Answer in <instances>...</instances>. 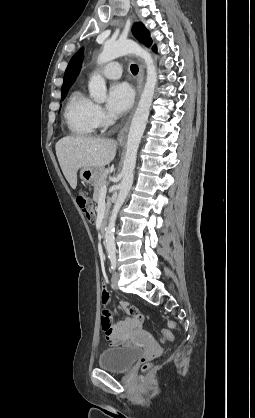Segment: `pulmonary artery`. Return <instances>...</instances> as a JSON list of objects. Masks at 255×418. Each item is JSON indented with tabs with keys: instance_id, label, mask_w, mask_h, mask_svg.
Returning a JSON list of instances; mask_svg holds the SVG:
<instances>
[{
	"instance_id": "pulmonary-artery-1",
	"label": "pulmonary artery",
	"mask_w": 255,
	"mask_h": 418,
	"mask_svg": "<svg viewBox=\"0 0 255 418\" xmlns=\"http://www.w3.org/2000/svg\"><path fill=\"white\" fill-rule=\"evenodd\" d=\"M101 73L109 79H118L122 74V66L118 62H111L101 69Z\"/></svg>"
}]
</instances>
